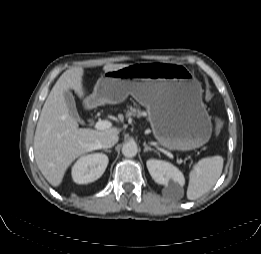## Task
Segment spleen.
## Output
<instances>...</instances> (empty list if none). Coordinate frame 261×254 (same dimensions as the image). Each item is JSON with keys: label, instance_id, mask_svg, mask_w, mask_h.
Returning a JSON list of instances; mask_svg holds the SVG:
<instances>
[{"label": "spleen", "instance_id": "obj_1", "mask_svg": "<svg viewBox=\"0 0 261 254\" xmlns=\"http://www.w3.org/2000/svg\"><path fill=\"white\" fill-rule=\"evenodd\" d=\"M222 169L223 158L221 156L199 160L189 174L187 198L196 200L207 193L219 179Z\"/></svg>", "mask_w": 261, "mask_h": 254}]
</instances>
